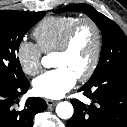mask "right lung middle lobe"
Wrapping results in <instances>:
<instances>
[{
	"instance_id": "right-lung-middle-lobe-1",
	"label": "right lung middle lobe",
	"mask_w": 127,
	"mask_h": 127,
	"mask_svg": "<svg viewBox=\"0 0 127 127\" xmlns=\"http://www.w3.org/2000/svg\"><path fill=\"white\" fill-rule=\"evenodd\" d=\"M45 12L0 11V82L17 85L26 81L17 52L25 33Z\"/></svg>"
}]
</instances>
